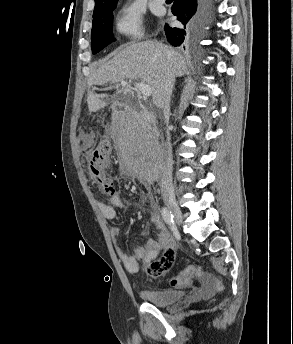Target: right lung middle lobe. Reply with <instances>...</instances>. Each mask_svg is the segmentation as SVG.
I'll return each mask as SVG.
<instances>
[{
	"label": "right lung middle lobe",
	"mask_w": 293,
	"mask_h": 344,
	"mask_svg": "<svg viewBox=\"0 0 293 344\" xmlns=\"http://www.w3.org/2000/svg\"><path fill=\"white\" fill-rule=\"evenodd\" d=\"M117 2L108 6L95 9L93 12V27L91 32V44L93 54L98 53L108 44L114 41L112 34L113 10Z\"/></svg>",
	"instance_id": "right-lung-middle-lobe-1"
}]
</instances>
